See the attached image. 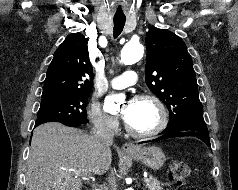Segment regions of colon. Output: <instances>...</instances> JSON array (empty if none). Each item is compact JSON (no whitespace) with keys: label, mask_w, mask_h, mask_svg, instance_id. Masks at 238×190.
I'll return each mask as SVG.
<instances>
[{"label":"colon","mask_w":238,"mask_h":190,"mask_svg":"<svg viewBox=\"0 0 238 190\" xmlns=\"http://www.w3.org/2000/svg\"><path fill=\"white\" fill-rule=\"evenodd\" d=\"M169 174L176 184H183L189 178L191 169L185 163L176 161L170 164Z\"/></svg>","instance_id":"1"}]
</instances>
